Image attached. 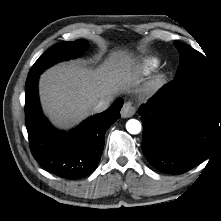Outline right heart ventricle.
I'll return each mask as SVG.
<instances>
[{"mask_svg": "<svg viewBox=\"0 0 221 221\" xmlns=\"http://www.w3.org/2000/svg\"><path fill=\"white\" fill-rule=\"evenodd\" d=\"M158 65H159V60L157 58L148 57V58L143 59L141 67L145 73H148L154 70L155 68H157Z\"/></svg>", "mask_w": 221, "mask_h": 221, "instance_id": "obj_1", "label": "right heart ventricle"}]
</instances>
